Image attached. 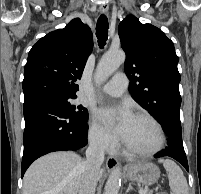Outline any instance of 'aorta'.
Wrapping results in <instances>:
<instances>
[{"label": "aorta", "mask_w": 201, "mask_h": 194, "mask_svg": "<svg viewBox=\"0 0 201 194\" xmlns=\"http://www.w3.org/2000/svg\"><path fill=\"white\" fill-rule=\"evenodd\" d=\"M125 61L123 50L108 51L99 61L95 80L98 84L108 79ZM121 185V172L118 168L114 169L106 182L104 194H118Z\"/></svg>", "instance_id": "762f6f07"}]
</instances>
